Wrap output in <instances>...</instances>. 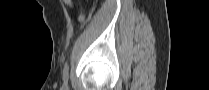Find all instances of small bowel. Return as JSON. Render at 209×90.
Wrapping results in <instances>:
<instances>
[{
    "label": "small bowel",
    "instance_id": "small-bowel-1",
    "mask_svg": "<svg viewBox=\"0 0 209 90\" xmlns=\"http://www.w3.org/2000/svg\"><path fill=\"white\" fill-rule=\"evenodd\" d=\"M67 3H68V5H69L71 8H73V3H72L70 0H68ZM76 18H77V20H78L79 22H83L84 19H85L84 15L81 14V13H77V14H76Z\"/></svg>",
    "mask_w": 209,
    "mask_h": 90
}]
</instances>
